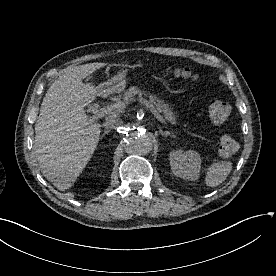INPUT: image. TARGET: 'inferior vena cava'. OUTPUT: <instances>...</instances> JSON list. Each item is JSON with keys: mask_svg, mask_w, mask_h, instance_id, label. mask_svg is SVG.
Returning <instances> with one entry per match:
<instances>
[{"mask_svg": "<svg viewBox=\"0 0 276 276\" xmlns=\"http://www.w3.org/2000/svg\"><path fill=\"white\" fill-rule=\"evenodd\" d=\"M120 125H121V121H119L118 119H115V118H110L104 122L103 127L106 129H113Z\"/></svg>", "mask_w": 276, "mask_h": 276, "instance_id": "inferior-vena-cava-1", "label": "inferior vena cava"}]
</instances>
